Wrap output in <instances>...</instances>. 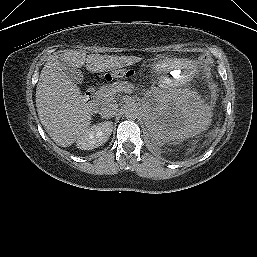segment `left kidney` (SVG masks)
I'll list each match as a JSON object with an SVG mask.
<instances>
[{
	"label": "left kidney",
	"instance_id": "1",
	"mask_svg": "<svg viewBox=\"0 0 257 257\" xmlns=\"http://www.w3.org/2000/svg\"><path fill=\"white\" fill-rule=\"evenodd\" d=\"M143 118L150 134L162 143L195 136L209 124L201 98L192 91L180 89L149 98L144 105Z\"/></svg>",
	"mask_w": 257,
	"mask_h": 257
}]
</instances>
